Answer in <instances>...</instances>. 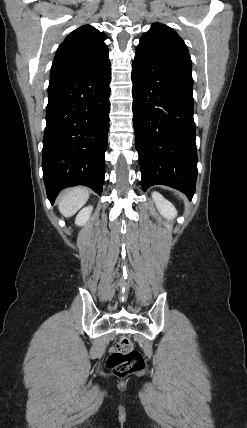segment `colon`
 Returning <instances> with one entry per match:
<instances>
[{
	"label": "colon",
	"mask_w": 247,
	"mask_h": 428,
	"mask_svg": "<svg viewBox=\"0 0 247 428\" xmlns=\"http://www.w3.org/2000/svg\"><path fill=\"white\" fill-rule=\"evenodd\" d=\"M106 365L114 375L124 377L143 369L144 360L141 353L134 349L130 340L122 338L108 356Z\"/></svg>",
	"instance_id": "colon-1"
}]
</instances>
